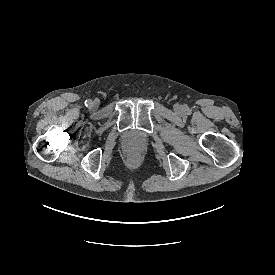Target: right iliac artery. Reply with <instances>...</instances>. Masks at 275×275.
<instances>
[{"label":"right iliac artery","mask_w":275,"mask_h":275,"mask_svg":"<svg viewBox=\"0 0 275 275\" xmlns=\"http://www.w3.org/2000/svg\"><path fill=\"white\" fill-rule=\"evenodd\" d=\"M90 104H91V101H90V100H86V101H85V105H86V106H88V105H90Z\"/></svg>","instance_id":"right-iliac-artery-1"}]
</instances>
